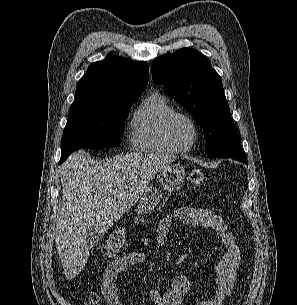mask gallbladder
<instances>
[{"label":"gallbladder","instance_id":"1","mask_svg":"<svg viewBox=\"0 0 297 305\" xmlns=\"http://www.w3.org/2000/svg\"><path fill=\"white\" fill-rule=\"evenodd\" d=\"M102 234L94 227H88L85 230L84 237L90 248L98 245Z\"/></svg>","mask_w":297,"mask_h":305}]
</instances>
